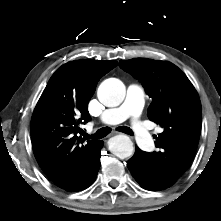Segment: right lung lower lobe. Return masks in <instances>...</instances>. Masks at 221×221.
<instances>
[{
	"mask_svg": "<svg viewBox=\"0 0 221 221\" xmlns=\"http://www.w3.org/2000/svg\"><path fill=\"white\" fill-rule=\"evenodd\" d=\"M102 146H103V141H100L95 149L93 160L89 165L88 170L85 173L84 177L67 191H79L92 185L100 167V157H101L100 150Z\"/></svg>",
	"mask_w": 221,
	"mask_h": 221,
	"instance_id": "98d812e1",
	"label": "right lung lower lobe"
}]
</instances>
